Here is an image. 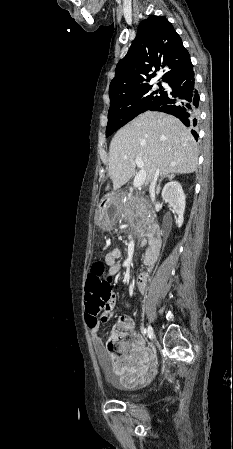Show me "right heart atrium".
<instances>
[{"label": "right heart atrium", "instance_id": "1", "mask_svg": "<svg viewBox=\"0 0 233 449\" xmlns=\"http://www.w3.org/2000/svg\"><path fill=\"white\" fill-rule=\"evenodd\" d=\"M142 104H143V103H142V100H141V99H137V100H136V105H137V106H142Z\"/></svg>", "mask_w": 233, "mask_h": 449}]
</instances>
